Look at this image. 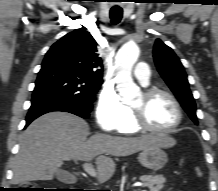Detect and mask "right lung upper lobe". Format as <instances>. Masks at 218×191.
Returning <instances> with one entry per match:
<instances>
[{
    "mask_svg": "<svg viewBox=\"0 0 218 191\" xmlns=\"http://www.w3.org/2000/svg\"><path fill=\"white\" fill-rule=\"evenodd\" d=\"M96 41L84 29H76L54 43L44 61L62 64L93 81L102 82L103 65Z\"/></svg>",
    "mask_w": 218,
    "mask_h": 191,
    "instance_id": "1",
    "label": "right lung upper lobe"
}]
</instances>
